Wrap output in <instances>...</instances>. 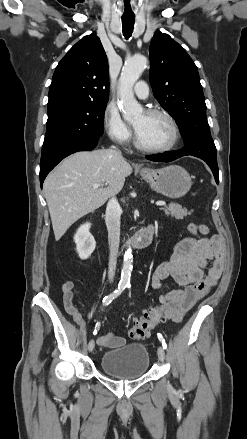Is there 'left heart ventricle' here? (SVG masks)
<instances>
[{
	"label": "left heart ventricle",
	"instance_id": "1",
	"mask_svg": "<svg viewBox=\"0 0 247 439\" xmlns=\"http://www.w3.org/2000/svg\"><path fill=\"white\" fill-rule=\"evenodd\" d=\"M133 126L141 142L149 147H162L172 139V129L169 122L161 116H147L142 113Z\"/></svg>",
	"mask_w": 247,
	"mask_h": 439
}]
</instances>
